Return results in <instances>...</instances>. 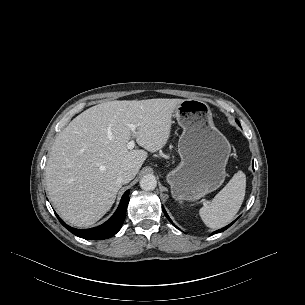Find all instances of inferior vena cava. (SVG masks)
<instances>
[{
  "instance_id": "1",
  "label": "inferior vena cava",
  "mask_w": 305,
  "mask_h": 305,
  "mask_svg": "<svg viewBox=\"0 0 305 305\" xmlns=\"http://www.w3.org/2000/svg\"><path fill=\"white\" fill-rule=\"evenodd\" d=\"M135 175L136 173L131 169H122L119 172L117 180L121 184H126L129 183L135 177Z\"/></svg>"
}]
</instances>
